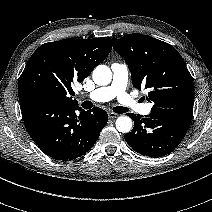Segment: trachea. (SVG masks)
I'll return each instance as SVG.
<instances>
[{
  "instance_id": "3493384b",
  "label": "trachea",
  "mask_w": 212,
  "mask_h": 212,
  "mask_svg": "<svg viewBox=\"0 0 212 212\" xmlns=\"http://www.w3.org/2000/svg\"><path fill=\"white\" fill-rule=\"evenodd\" d=\"M88 103H89V106L91 107V106H92V103H91V102H88ZM113 111H114L115 113L122 114V113L127 112L128 109L125 108V107H122V106H117V107H114V108H113Z\"/></svg>"
}]
</instances>
